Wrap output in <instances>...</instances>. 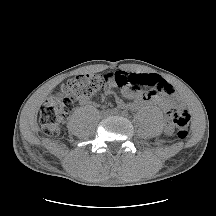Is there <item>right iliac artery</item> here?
Here are the masks:
<instances>
[{
    "label": "right iliac artery",
    "instance_id": "1",
    "mask_svg": "<svg viewBox=\"0 0 216 216\" xmlns=\"http://www.w3.org/2000/svg\"><path fill=\"white\" fill-rule=\"evenodd\" d=\"M111 112H112V113H116V112H117V109H112Z\"/></svg>",
    "mask_w": 216,
    "mask_h": 216
}]
</instances>
